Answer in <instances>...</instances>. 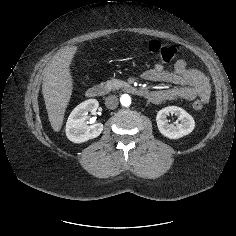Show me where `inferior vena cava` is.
<instances>
[{"mask_svg":"<svg viewBox=\"0 0 236 236\" xmlns=\"http://www.w3.org/2000/svg\"><path fill=\"white\" fill-rule=\"evenodd\" d=\"M118 104V98L115 95H110L105 99V105L109 109H115Z\"/></svg>","mask_w":236,"mask_h":236,"instance_id":"602c4592","label":"inferior vena cava"}]
</instances>
